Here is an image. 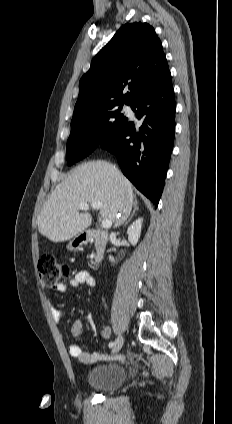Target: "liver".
<instances>
[{
  "label": "liver",
  "mask_w": 232,
  "mask_h": 424,
  "mask_svg": "<svg viewBox=\"0 0 232 424\" xmlns=\"http://www.w3.org/2000/svg\"><path fill=\"white\" fill-rule=\"evenodd\" d=\"M129 196L133 197L130 181L112 164L106 161L81 164L56 186L44 203L38 230L53 242L70 240L92 222L90 213L79 214L80 203L102 202L101 217L115 222Z\"/></svg>",
  "instance_id": "6515ba94"
}]
</instances>
